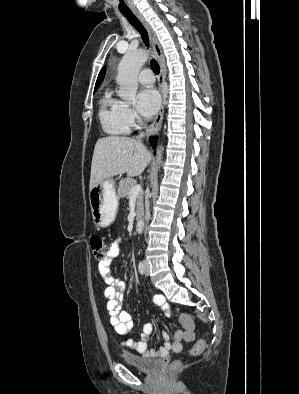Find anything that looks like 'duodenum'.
Segmentation results:
<instances>
[{"mask_svg":"<svg viewBox=\"0 0 299 394\" xmlns=\"http://www.w3.org/2000/svg\"><path fill=\"white\" fill-rule=\"evenodd\" d=\"M135 230L136 233H141L143 230V222L141 220H137L136 225H135Z\"/></svg>","mask_w":299,"mask_h":394,"instance_id":"410a0bca","label":"duodenum"}]
</instances>
